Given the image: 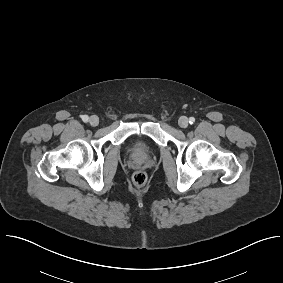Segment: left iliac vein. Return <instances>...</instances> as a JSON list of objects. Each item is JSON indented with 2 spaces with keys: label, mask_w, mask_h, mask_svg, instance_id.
Here are the masks:
<instances>
[{
  "label": "left iliac vein",
  "mask_w": 283,
  "mask_h": 283,
  "mask_svg": "<svg viewBox=\"0 0 283 283\" xmlns=\"http://www.w3.org/2000/svg\"><path fill=\"white\" fill-rule=\"evenodd\" d=\"M178 124L181 128H186L189 124L188 118L185 116H182L179 120H178Z\"/></svg>",
  "instance_id": "left-iliac-vein-1"
}]
</instances>
